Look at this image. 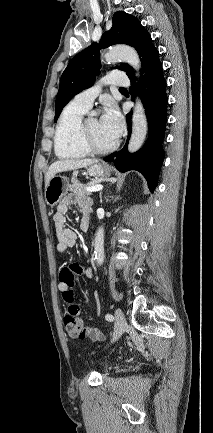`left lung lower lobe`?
Listing matches in <instances>:
<instances>
[{"instance_id": "1", "label": "left lung lower lobe", "mask_w": 213, "mask_h": 433, "mask_svg": "<svg viewBox=\"0 0 213 433\" xmlns=\"http://www.w3.org/2000/svg\"><path fill=\"white\" fill-rule=\"evenodd\" d=\"M131 80L130 93L133 97L138 92L149 122V136L145 146L135 153L127 150L130 138L131 113L127 114L128 139L125 146L106 158L104 161L113 162L120 172L129 170L139 171L147 180L151 192L154 191L160 167L164 160L162 142L167 121V95L166 81L163 77V68L159 60V52L153 48L142 63V72L139 84L135 86L134 73L129 76Z\"/></svg>"}]
</instances>
